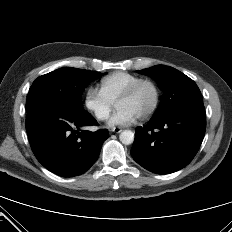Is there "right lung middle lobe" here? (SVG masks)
I'll return each instance as SVG.
<instances>
[{
    "instance_id": "right-lung-middle-lobe-1",
    "label": "right lung middle lobe",
    "mask_w": 232,
    "mask_h": 232,
    "mask_svg": "<svg viewBox=\"0 0 232 232\" xmlns=\"http://www.w3.org/2000/svg\"><path fill=\"white\" fill-rule=\"evenodd\" d=\"M101 73L72 67L60 68L38 77L29 90L26 111L36 107L84 111L82 93Z\"/></svg>"
}]
</instances>
